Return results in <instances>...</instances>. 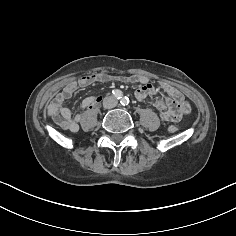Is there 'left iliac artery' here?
<instances>
[{"mask_svg":"<svg viewBox=\"0 0 236 236\" xmlns=\"http://www.w3.org/2000/svg\"><path fill=\"white\" fill-rule=\"evenodd\" d=\"M120 102L123 106L128 105L129 98L125 96V97L122 98V100Z\"/></svg>","mask_w":236,"mask_h":236,"instance_id":"44dca946","label":"left iliac artery"}]
</instances>
